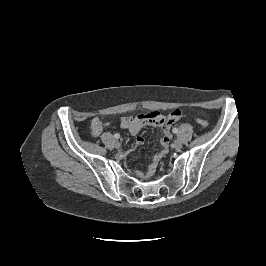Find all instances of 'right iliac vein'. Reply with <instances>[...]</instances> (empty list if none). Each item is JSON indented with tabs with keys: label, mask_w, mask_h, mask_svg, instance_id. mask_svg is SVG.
Listing matches in <instances>:
<instances>
[{
	"label": "right iliac vein",
	"mask_w": 266,
	"mask_h": 266,
	"mask_svg": "<svg viewBox=\"0 0 266 266\" xmlns=\"http://www.w3.org/2000/svg\"><path fill=\"white\" fill-rule=\"evenodd\" d=\"M115 147L116 148H120L121 147V143L118 140L115 141Z\"/></svg>",
	"instance_id": "1"
}]
</instances>
